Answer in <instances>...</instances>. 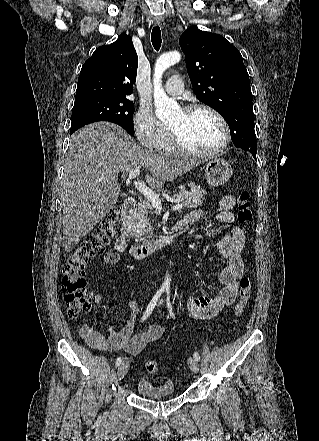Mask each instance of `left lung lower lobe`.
<instances>
[{
  "label": "left lung lower lobe",
  "mask_w": 319,
  "mask_h": 441,
  "mask_svg": "<svg viewBox=\"0 0 319 441\" xmlns=\"http://www.w3.org/2000/svg\"><path fill=\"white\" fill-rule=\"evenodd\" d=\"M252 154H253V157L256 158V153H252Z\"/></svg>",
  "instance_id": "obj_1"
}]
</instances>
